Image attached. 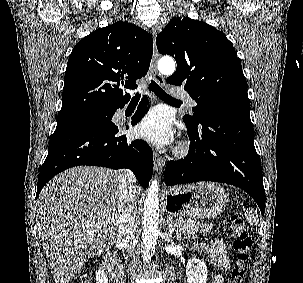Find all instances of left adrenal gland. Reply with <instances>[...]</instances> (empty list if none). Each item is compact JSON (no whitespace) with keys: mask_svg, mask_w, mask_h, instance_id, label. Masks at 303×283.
<instances>
[{"mask_svg":"<svg viewBox=\"0 0 303 283\" xmlns=\"http://www.w3.org/2000/svg\"><path fill=\"white\" fill-rule=\"evenodd\" d=\"M167 228H168V235L171 236L172 234H176V239H180V231L178 230V228L174 227L172 223H170L169 221H167Z\"/></svg>","mask_w":303,"mask_h":283,"instance_id":"obj_1","label":"left adrenal gland"}]
</instances>
